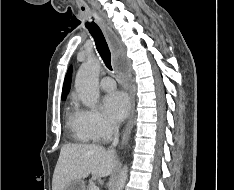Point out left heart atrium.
<instances>
[{"label":"left heart atrium","mask_w":234,"mask_h":190,"mask_svg":"<svg viewBox=\"0 0 234 190\" xmlns=\"http://www.w3.org/2000/svg\"><path fill=\"white\" fill-rule=\"evenodd\" d=\"M103 105L108 118L114 122H121L128 115L130 100L124 92L115 91L104 98Z\"/></svg>","instance_id":"obj_1"}]
</instances>
